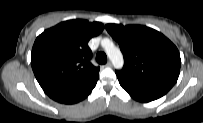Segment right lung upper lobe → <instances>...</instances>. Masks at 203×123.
Returning a JSON list of instances; mask_svg holds the SVG:
<instances>
[{
    "label": "right lung upper lobe",
    "mask_w": 203,
    "mask_h": 123,
    "mask_svg": "<svg viewBox=\"0 0 203 123\" xmlns=\"http://www.w3.org/2000/svg\"><path fill=\"white\" fill-rule=\"evenodd\" d=\"M103 29L102 23L77 19L61 22L37 37L31 66L46 94L86 86L99 78V67L90 62L88 41Z\"/></svg>",
    "instance_id": "cb5924a9"
}]
</instances>
